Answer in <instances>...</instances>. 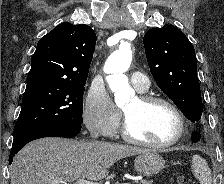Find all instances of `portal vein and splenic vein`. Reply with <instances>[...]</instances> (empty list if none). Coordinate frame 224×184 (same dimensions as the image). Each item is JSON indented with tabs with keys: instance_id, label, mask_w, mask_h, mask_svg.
<instances>
[{
	"instance_id": "1",
	"label": "portal vein and splenic vein",
	"mask_w": 224,
	"mask_h": 184,
	"mask_svg": "<svg viewBox=\"0 0 224 184\" xmlns=\"http://www.w3.org/2000/svg\"><path fill=\"white\" fill-rule=\"evenodd\" d=\"M54 184H60V183L56 181ZM64 184H66V183H64ZM74 184H98V183L90 182V181L85 180L84 178H80ZM122 184H130V183H122Z\"/></svg>"
}]
</instances>
